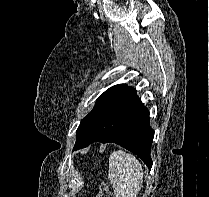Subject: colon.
<instances>
[{
    "instance_id": "5ec220e1",
    "label": "colon",
    "mask_w": 209,
    "mask_h": 197,
    "mask_svg": "<svg viewBox=\"0 0 209 197\" xmlns=\"http://www.w3.org/2000/svg\"><path fill=\"white\" fill-rule=\"evenodd\" d=\"M96 197H114L110 189L105 183H102L99 187Z\"/></svg>"
}]
</instances>
